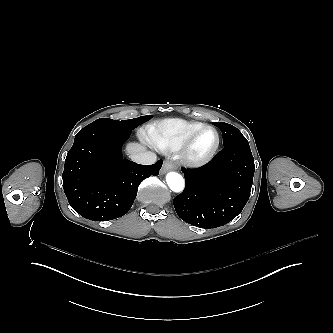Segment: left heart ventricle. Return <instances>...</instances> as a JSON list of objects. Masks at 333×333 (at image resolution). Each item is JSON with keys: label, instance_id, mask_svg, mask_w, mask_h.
<instances>
[{"label": "left heart ventricle", "instance_id": "obj_1", "mask_svg": "<svg viewBox=\"0 0 333 333\" xmlns=\"http://www.w3.org/2000/svg\"><path fill=\"white\" fill-rule=\"evenodd\" d=\"M216 144V134L212 129H203L193 140L190 152L195 157H203L211 152Z\"/></svg>", "mask_w": 333, "mask_h": 333}]
</instances>
